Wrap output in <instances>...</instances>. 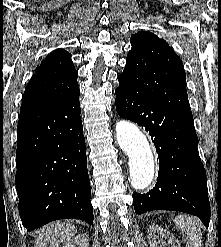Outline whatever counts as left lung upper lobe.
<instances>
[{"label":"left lung upper lobe","mask_w":221,"mask_h":247,"mask_svg":"<svg viewBox=\"0 0 221 247\" xmlns=\"http://www.w3.org/2000/svg\"><path fill=\"white\" fill-rule=\"evenodd\" d=\"M130 40L132 48L120 75L133 85L137 95L191 114L183 64L168 43L146 31Z\"/></svg>","instance_id":"left-lung-upper-lobe-1"}]
</instances>
